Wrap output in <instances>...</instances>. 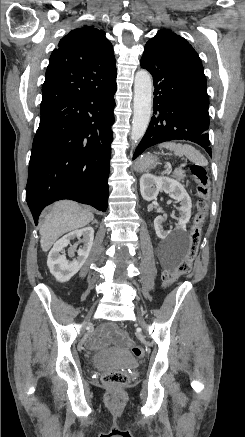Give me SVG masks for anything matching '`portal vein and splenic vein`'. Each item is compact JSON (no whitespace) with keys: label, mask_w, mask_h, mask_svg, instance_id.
Instances as JSON below:
<instances>
[{"label":"portal vein and splenic vein","mask_w":245,"mask_h":437,"mask_svg":"<svg viewBox=\"0 0 245 437\" xmlns=\"http://www.w3.org/2000/svg\"><path fill=\"white\" fill-rule=\"evenodd\" d=\"M183 166V165H181ZM168 170H170L172 168L171 164H167Z\"/></svg>","instance_id":"portal-vein-and-splenic-vein-1"}]
</instances>
